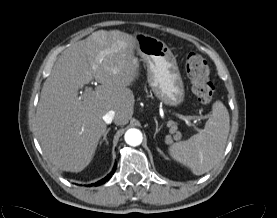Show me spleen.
Instances as JSON below:
<instances>
[{"label":"spleen","instance_id":"3e777b00","mask_svg":"<svg viewBox=\"0 0 277 218\" xmlns=\"http://www.w3.org/2000/svg\"><path fill=\"white\" fill-rule=\"evenodd\" d=\"M230 130L229 113L221 101L213 104L202 132L169 147L170 155L195 175L210 171L221 159Z\"/></svg>","mask_w":277,"mask_h":218}]
</instances>
